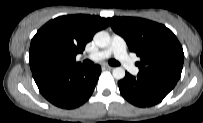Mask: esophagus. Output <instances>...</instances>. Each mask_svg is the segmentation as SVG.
I'll return each mask as SVG.
<instances>
[{"mask_svg": "<svg viewBox=\"0 0 203 123\" xmlns=\"http://www.w3.org/2000/svg\"><path fill=\"white\" fill-rule=\"evenodd\" d=\"M102 68L106 69V70H112L113 69V67L109 66V65H103Z\"/></svg>", "mask_w": 203, "mask_h": 123, "instance_id": "1", "label": "esophagus"}]
</instances>
